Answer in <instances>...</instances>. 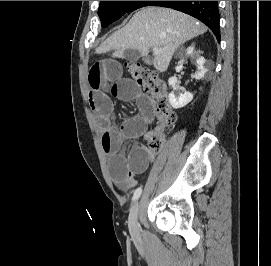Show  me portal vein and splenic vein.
I'll return each instance as SVG.
<instances>
[{
	"label": "portal vein and splenic vein",
	"instance_id": "1",
	"mask_svg": "<svg viewBox=\"0 0 271 266\" xmlns=\"http://www.w3.org/2000/svg\"><path fill=\"white\" fill-rule=\"evenodd\" d=\"M153 52H154L155 54H157V53L161 52V49H159V48H157V47H153Z\"/></svg>",
	"mask_w": 271,
	"mask_h": 266
}]
</instances>
